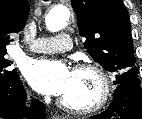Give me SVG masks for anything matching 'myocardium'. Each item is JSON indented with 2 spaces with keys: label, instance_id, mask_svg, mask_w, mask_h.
I'll use <instances>...</instances> for the list:
<instances>
[{
  "label": "myocardium",
  "instance_id": "obj_1",
  "mask_svg": "<svg viewBox=\"0 0 142 119\" xmlns=\"http://www.w3.org/2000/svg\"><path fill=\"white\" fill-rule=\"evenodd\" d=\"M89 71L93 73L100 83L99 94L95 102L89 106H76L70 104L60 98L58 100V105L69 112L76 114H92L103 109L110 100L112 94V83L107 72L98 64L95 63H79L73 68V72Z\"/></svg>",
  "mask_w": 142,
  "mask_h": 119
}]
</instances>
